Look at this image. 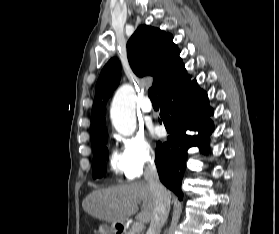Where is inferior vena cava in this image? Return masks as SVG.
<instances>
[{
    "label": "inferior vena cava",
    "instance_id": "inferior-vena-cava-1",
    "mask_svg": "<svg viewBox=\"0 0 279 234\" xmlns=\"http://www.w3.org/2000/svg\"><path fill=\"white\" fill-rule=\"evenodd\" d=\"M144 178L149 185L154 199V212L150 226L146 234H160L170 210V196L166 188L161 184L154 160H149L145 167Z\"/></svg>",
    "mask_w": 279,
    "mask_h": 234
}]
</instances>
